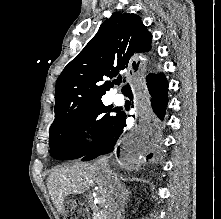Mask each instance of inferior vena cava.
Wrapping results in <instances>:
<instances>
[{"instance_id": "1", "label": "inferior vena cava", "mask_w": 221, "mask_h": 219, "mask_svg": "<svg viewBox=\"0 0 221 219\" xmlns=\"http://www.w3.org/2000/svg\"><path fill=\"white\" fill-rule=\"evenodd\" d=\"M98 164L100 166V169L103 173H107L109 176L110 180L112 181V191L115 192V199L112 202V204L109 207V210L107 212V219H124L123 218V211H124V206L126 203V195L125 192L122 191L120 192V187H119V181L117 175H112V170L109 169L108 166V157L107 156H102L98 160Z\"/></svg>"}]
</instances>
